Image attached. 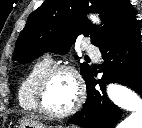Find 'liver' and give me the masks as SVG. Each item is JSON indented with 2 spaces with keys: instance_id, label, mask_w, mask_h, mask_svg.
<instances>
[{
  "instance_id": "1",
  "label": "liver",
  "mask_w": 142,
  "mask_h": 128,
  "mask_svg": "<svg viewBox=\"0 0 142 128\" xmlns=\"http://www.w3.org/2000/svg\"><path fill=\"white\" fill-rule=\"evenodd\" d=\"M25 118H36L34 115H31V116H26V117H24V119Z\"/></svg>"
}]
</instances>
